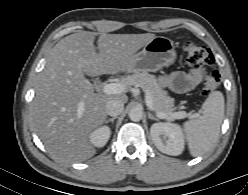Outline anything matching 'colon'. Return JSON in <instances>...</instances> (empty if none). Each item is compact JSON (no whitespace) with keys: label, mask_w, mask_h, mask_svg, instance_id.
<instances>
[{"label":"colon","mask_w":248,"mask_h":195,"mask_svg":"<svg viewBox=\"0 0 248 195\" xmlns=\"http://www.w3.org/2000/svg\"><path fill=\"white\" fill-rule=\"evenodd\" d=\"M183 50L186 56V62L189 66L196 69L213 67L215 58L213 53L206 47L195 42L188 41L184 44ZM221 77L217 70L213 69L207 73L202 82V95L208 96L220 85Z\"/></svg>","instance_id":"colon-1"}]
</instances>
